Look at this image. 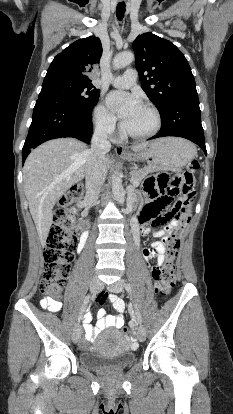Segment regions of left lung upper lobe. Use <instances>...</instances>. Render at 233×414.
Segmentation results:
<instances>
[{
  "mask_svg": "<svg viewBox=\"0 0 233 414\" xmlns=\"http://www.w3.org/2000/svg\"><path fill=\"white\" fill-rule=\"evenodd\" d=\"M142 89L162 115L182 97L197 95L194 76L182 52L170 41L152 33L133 42Z\"/></svg>",
  "mask_w": 233,
  "mask_h": 414,
  "instance_id": "left-lung-upper-lobe-1",
  "label": "left lung upper lobe"
}]
</instances>
